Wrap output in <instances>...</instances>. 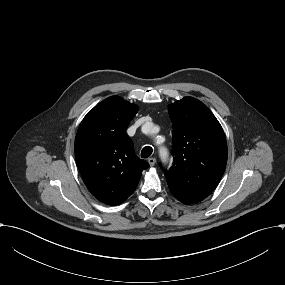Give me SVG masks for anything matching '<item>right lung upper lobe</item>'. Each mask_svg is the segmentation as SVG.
I'll return each mask as SVG.
<instances>
[{"instance_id":"1","label":"right lung upper lobe","mask_w":285,"mask_h":285,"mask_svg":"<svg viewBox=\"0 0 285 285\" xmlns=\"http://www.w3.org/2000/svg\"><path fill=\"white\" fill-rule=\"evenodd\" d=\"M138 107L118 96L96 105L82 120L75 138V158L89 191L108 205L123 203L149 167L134 153L126 129Z\"/></svg>"}]
</instances>
